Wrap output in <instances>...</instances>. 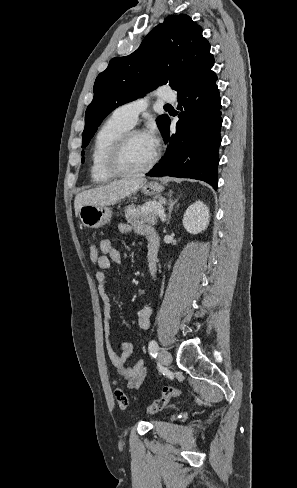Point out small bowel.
<instances>
[{
    "instance_id": "small-bowel-1",
    "label": "small bowel",
    "mask_w": 297,
    "mask_h": 488,
    "mask_svg": "<svg viewBox=\"0 0 297 488\" xmlns=\"http://www.w3.org/2000/svg\"><path fill=\"white\" fill-rule=\"evenodd\" d=\"M118 229L121 233H129L133 231L137 235L143 237L147 243L148 268L151 275L155 278L157 273V252L159 247L158 234L151 227L145 225L131 227L128 224L122 223L118 226ZM99 250L100 258L97 262L99 269L95 274V278L103 305L107 353L119 375H121L127 382L128 388L138 389L146 376L144 361L139 359L130 364L129 358L133 352V345L129 342H122L118 345H114L110 339L112 314L111 300L107 291L108 279L106 270L110 268L112 262H121V253L109 239H102L99 242ZM152 314V307H144L138 311L137 322L141 329L146 330L150 327Z\"/></svg>"
}]
</instances>
